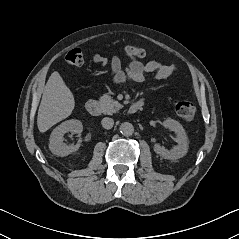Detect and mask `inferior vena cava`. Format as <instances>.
Masks as SVG:
<instances>
[{
    "label": "inferior vena cava",
    "instance_id": "inferior-vena-cava-1",
    "mask_svg": "<svg viewBox=\"0 0 239 239\" xmlns=\"http://www.w3.org/2000/svg\"><path fill=\"white\" fill-rule=\"evenodd\" d=\"M101 124H102L103 128L111 129L114 125V120L112 118L105 117L102 119Z\"/></svg>",
    "mask_w": 239,
    "mask_h": 239
}]
</instances>
